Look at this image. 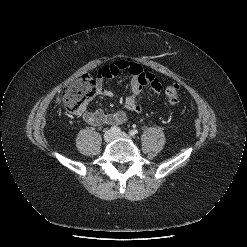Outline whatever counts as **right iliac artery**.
<instances>
[{"label": "right iliac artery", "mask_w": 247, "mask_h": 247, "mask_svg": "<svg viewBox=\"0 0 247 247\" xmlns=\"http://www.w3.org/2000/svg\"><path fill=\"white\" fill-rule=\"evenodd\" d=\"M110 130L112 131V132H114V133H120V128L119 127H117V126H112L111 128H110Z\"/></svg>", "instance_id": "1"}]
</instances>
